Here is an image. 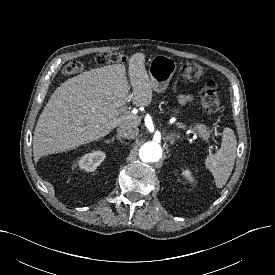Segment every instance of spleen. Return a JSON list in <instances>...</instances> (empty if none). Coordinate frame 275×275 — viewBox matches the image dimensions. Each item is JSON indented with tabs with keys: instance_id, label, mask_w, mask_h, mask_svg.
<instances>
[{
	"instance_id": "1",
	"label": "spleen",
	"mask_w": 275,
	"mask_h": 275,
	"mask_svg": "<svg viewBox=\"0 0 275 275\" xmlns=\"http://www.w3.org/2000/svg\"><path fill=\"white\" fill-rule=\"evenodd\" d=\"M236 148L237 141L233 130L224 128L221 148L217 153L211 154L205 159V166L213 174L218 188H222L231 175L236 158Z\"/></svg>"
}]
</instances>
